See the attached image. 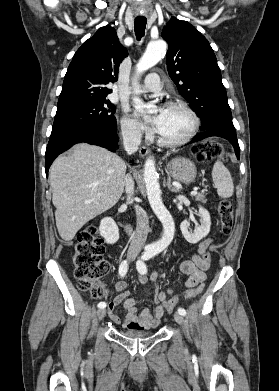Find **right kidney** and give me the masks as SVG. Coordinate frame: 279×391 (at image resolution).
<instances>
[{
    "instance_id": "1",
    "label": "right kidney",
    "mask_w": 279,
    "mask_h": 391,
    "mask_svg": "<svg viewBox=\"0 0 279 391\" xmlns=\"http://www.w3.org/2000/svg\"><path fill=\"white\" fill-rule=\"evenodd\" d=\"M99 233L108 244H114L119 239V229L117 224L110 217H105L101 220Z\"/></svg>"
}]
</instances>
